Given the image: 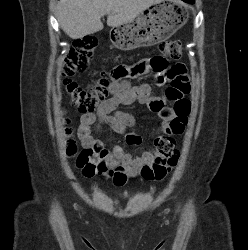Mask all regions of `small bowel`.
Segmentation results:
<instances>
[{
    "instance_id": "small-bowel-1",
    "label": "small bowel",
    "mask_w": 248,
    "mask_h": 250,
    "mask_svg": "<svg viewBox=\"0 0 248 250\" xmlns=\"http://www.w3.org/2000/svg\"><path fill=\"white\" fill-rule=\"evenodd\" d=\"M153 59H144L133 68L119 67L115 69L109 86L111 97L101 104L96 113H86L81 116L77 136L84 149H92L97 157L94 161L96 171H92L87 167H78L84 176H108L116 186H123L128 178L138 175L150 179L144 175L143 169L154 163L156 154L153 151L148 150L134 157L126 153L120 145L108 148L94 138V131L99 130L103 125H108L116 133L126 135L129 144H138L140 142V137L131 132L135 122L134 115L116 110L120 104L130 105L136 101L147 104L161 117V131L165 135L178 136L183 132L190 109L187 96L191 87L184 64H168L167 61H164L161 65L163 75H173L170 86L180 95V100L174 101L173 106H165V102L168 100L166 91L161 96L154 97L148 84L132 85L125 79L128 72L135 74L157 72ZM158 102L163 103V106L156 107L155 103Z\"/></svg>"
}]
</instances>
